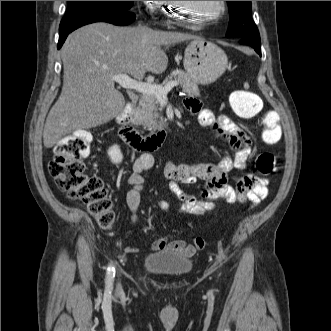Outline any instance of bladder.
I'll return each mask as SVG.
<instances>
[{"label":"bladder","mask_w":331,"mask_h":331,"mask_svg":"<svg viewBox=\"0 0 331 331\" xmlns=\"http://www.w3.org/2000/svg\"><path fill=\"white\" fill-rule=\"evenodd\" d=\"M145 270L162 277H180L188 274L192 268L189 256L171 250L148 253L142 263Z\"/></svg>","instance_id":"bladder-1"}]
</instances>
